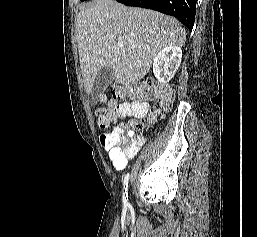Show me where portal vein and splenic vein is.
I'll list each match as a JSON object with an SVG mask.
<instances>
[{"label":"portal vein and splenic vein","instance_id":"1","mask_svg":"<svg viewBox=\"0 0 257 237\" xmlns=\"http://www.w3.org/2000/svg\"><path fill=\"white\" fill-rule=\"evenodd\" d=\"M117 45H118V47H123V42L118 41Z\"/></svg>","mask_w":257,"mask_h":237}]
</instances>
